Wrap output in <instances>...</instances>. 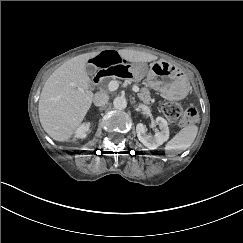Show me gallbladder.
<instances>
[{
	"instance_id": "1",
	"label": "gallbladder",
	"mask_w": 243,
	"mask_h": 243,
	"mask_svg": "<svg viewBox=\"0 0 243 243\" xmlns=\"http://www.w3.org/2000/svg\"><path fill=\"white\" fill-rule=\"evenodd\" d=\"M96 71H97L96 65H92V64L86 65V73L88 77H93Z\"/></svg>"
}]
</instances>
